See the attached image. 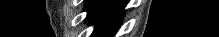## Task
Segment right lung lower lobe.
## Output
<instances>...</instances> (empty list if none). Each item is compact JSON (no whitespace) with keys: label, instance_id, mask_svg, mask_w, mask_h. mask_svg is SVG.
<instances>
[{"label":"right lung lower lobe","instance_id":"98d812e1","mask_svg":"<svg viewBox=\"0 0 219 37\" xmlns=\"http://www.w3.org/2000/svg\"><path fill=\"white\" fill-rule=\"evenodd\" d=\"M126 0H86V22L95 25L92 37H113L123 17Z\"/></svg>","mask_w":219,"mask_h":37}]
</instances>
